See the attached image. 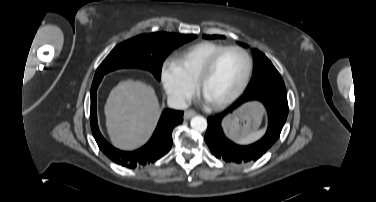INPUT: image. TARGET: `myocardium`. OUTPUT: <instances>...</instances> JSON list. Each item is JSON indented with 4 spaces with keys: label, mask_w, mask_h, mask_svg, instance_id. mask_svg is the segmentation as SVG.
<instances>
[{
    "label": "myocardium",
    "mask_w": 376,
    "mask_h": 202,
    "mask_svg": "<svg viewBox=\"0 0 376 202\" xmlns=\"http://www.w3.org/2000/svg\"><path fill=\"white\" fill-rule=\"evenodd\" d=\"M229 51H237L244 56L246 60V71H245L241 84L231 95H229L225 99L218 101V102H214V103L208 102L209 106L216 110L223 109L229 106L231 103H233L236 99H238L241 96V94L245 91L246 87L248 86V83L252 74L253 59L250 53L241 46H237V45L226 46L225 48L221 49L216 54H214L201 69L196 79V87L199 93L204 97V84L207 78L213 72L214 68L216 67L219 60L222 58V56Z\"/></svg>",
    "instance_id": "1"
}]
</instances>
